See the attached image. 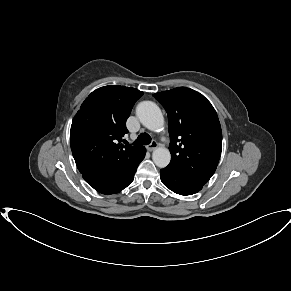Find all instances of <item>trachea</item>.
I'll return each instance as SVG.
<instances>
[{
  "mask_svg": "<svg viewBox=\"0 0 291 291\" xmlns=\"http://www.w3.org/2000/svg\"><path fill=\"white\" fill-rule=\"evenodd\" d=\"M151 143V137L147 133H141L134 141V145H148Z\"/></svg>",
  "mask_w": 291,
  "mask_h": 291,
  "instance_id": "trachea-1",
  "label": "trachea"
}]
</instances>
